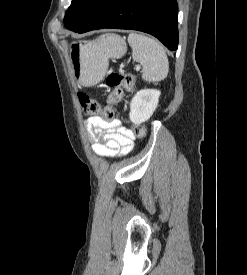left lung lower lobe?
I'll return each instance as SVG.
<instances>
[{"label": "left lung lower lobe", "instance_id": "left-lung-lower-lobe-1", "mask_svg": "<svg viewBox=\"0 0 247 275\" xmlns=\"http://www.w3.org/2000/svg\"><path fill=\"white\" fill-rule=\"evenodd\" d=\"M101 28L132 29L158 38L169 50L178 46L176 0H103L74 32Z\"/></svg>", "mask_w": 247, "mask_h": 275}]
</instances>
